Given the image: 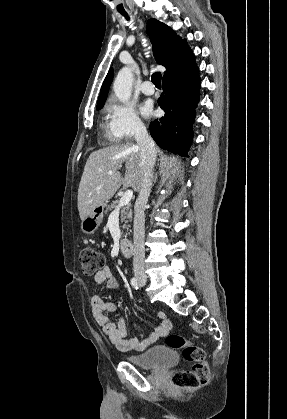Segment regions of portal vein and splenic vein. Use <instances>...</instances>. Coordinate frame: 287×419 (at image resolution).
Listing matches in <instances>:
<instances>
[{"mask_svg": "<svg viewBox=\"0 0 287 419\" xmlns=\"http://www.w3.org/2000/svg\"><path fill=\"white\" fill-rule=\"evenodd\" d=\"M108 174H109V175H112V174H113V172H112V171H109V172H108ZM132 197H133V191H132V190H127V191L123 194V196L120 198V200H119V204H118V206H117V208H116V209H119V208H121V207H123V206L127 205V204L130 202V200L132 199Z\"/></svg>", "mask_w": 287, "mask_h": 419, "instance_id": "portal-vein-and-splenic-vein-1", "label": "portal vein and splenic vein"}]
</instances>
